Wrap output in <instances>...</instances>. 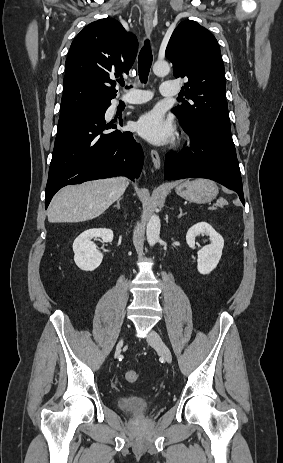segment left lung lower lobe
<instances>
[{"label":"left lung lower lobe","mask_w":283,"mask_h":463,"mask_svg":"<svg viewBox=\"0 0 283 463\" xmlns=\"http://www.w3.org/2000/svg\"><path fill=\"white\" fill-rule=\"evenodd\" d=\"M182 127L191 135L190 145L180 154L166 156L165 178L199 177L214 180L236 191L245 205L231 133L208 125Z\"/></svg>","instance_id":"obj_1"}]
</instances>
